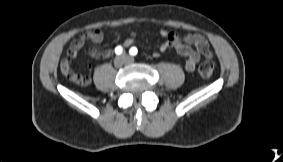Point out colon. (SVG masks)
<instances>
[{"label": "colon", "instance_id": "obj_1", "mask_svg": "<svg viewBox=\"0 0 283 162\" xmlns=\"http://www.w3.org/2000/svg\"><path fill=\"white\" fill-rule=\"evenodd\" d=\"M215 70V63L211 59H206L199 65L198 72L201 77L203 78H210ZM68 79L72 80L73 82L80 84V85H86L90 81L89 74H74L72 72H62Z\"/></svg>", "mask_w": 283, "mask_h": 162}]
</instances>
